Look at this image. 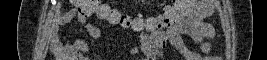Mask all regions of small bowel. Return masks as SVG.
<instances>
[{
    "instance_id": "small-bowel-1",
    "label": "small bowel",
    "mask_w": 267,
    "mask_h": 60,
    "mask_svg": "<svg viewBox=\"0 0 267 60\" xmlns=\"http://www.w3.org/2000/svg\"><path fill=\"white\" fill-rule=\"evenodd\" d=\"M214 12V1L212 0H190V6L187 14L179 22V24L166 31L144 33L141 32L131 48L130 53L134 56L143 55L147 60H159L164 58V50L166 46L171 45L185 60H214L217 57H202L187 48L184 44L182 35H188L199 49L209 54L211 51V43L209 40L215 37V29L213 24L205 22L204 19L212 15ZM78 22L86 23L88 16L82 15L75 9H70L64 17V22L68 23L72 19ZM86 30L92 39H99L102 35L99 27L87 23ZM61 31V25L56 28V34ZM56 50L62 55L80 56L89 51V43L84 39H75L72 44L68 41L56 44Z\"/></svg>"
}]
</instances>
